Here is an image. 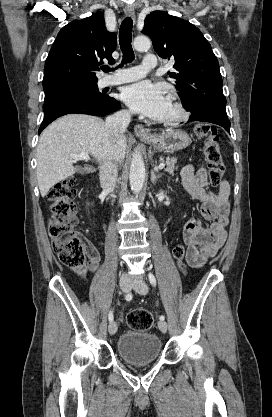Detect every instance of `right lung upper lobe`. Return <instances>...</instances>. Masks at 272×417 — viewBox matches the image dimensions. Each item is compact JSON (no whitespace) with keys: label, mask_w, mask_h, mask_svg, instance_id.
<instances>
[{"label":"right lung upper lobe","mask_w":272,"mask_h":417,"mask_svg":"<svg viewBox=\"0 0 272 417\" xmlns=\"http://www.w3.org/2000/svg\"><path fill=\"white\" fill-rule=\"evenodd\" d=\"M116 34L105 28L104 16L95 13L63 27L44 67L43 89L96 83L103 60L113 61Z\"/></svg>","instance_id":"right-lung-upper-lobe-1"}]
</instances>
